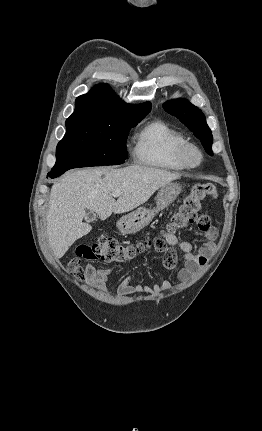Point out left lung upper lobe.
<instances>
[{
  "mask_svg": "<svg viewBox=\"0 0 262 431\" xmlns=\"http://www.w3.org/2000/svg\"><path fill=\"white\" fill-rule=\"evenodd\" d=\"M164 109L184 123L201 143L209 155H212L213 136L206 123L204 114L185 99H174L163 104Z\"/></svg>",
  "mask_w": 262,
  "mask_h": 431,
  "instance_id": "left-lung-upper-lobe-1",
  "label": "left lung upper lobe"
}]
</instances>
